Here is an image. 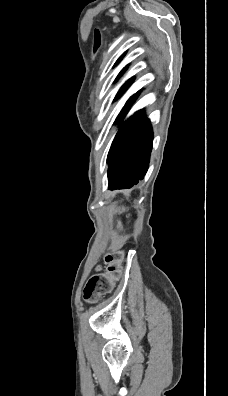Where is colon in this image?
Masks as SVG:
<instances>
[{"label":"colon","mask_w":228,"mask_h":396,"mask_svg":"<svg viewBox=\"0 0 228 396\" xmlns=\"http://www.w3.org/2000/svg\"><path fill=\"white\" fill-rule=\"evenodd\" d=\"M123 252L118 243L105 255V270L95 273L87 282L83 298L94 302L111 290L113 284L120 278L122 272Z\"/></svg>","instance_id":"5ec220e1"}]
</instances>
